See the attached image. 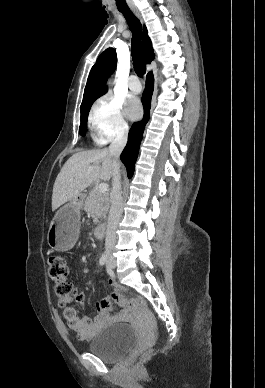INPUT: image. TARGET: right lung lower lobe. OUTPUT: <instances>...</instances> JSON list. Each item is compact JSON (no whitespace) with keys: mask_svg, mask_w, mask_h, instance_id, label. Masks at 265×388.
Segmentation results:
<instances>
[{"mask_svg":"<svg viewBox=\"0 0 265 388\" xmlns=\"http://www.w3.org/2000/svg\"><path fill=\"white\" fill-rule=\"evenodd\" d=\"M153 88V74L148 73L145 90L141 99L144 108V117L141 121L136 122L132 125L128 135V143L120 156L122 162L126 166L128 178H131L133 176L136 159L139 153L140 142L143 138V131L150 117Z\"/></svg>","mask_w":265,"mask_h":388,"instance_id":"right-lung-lower-lobe-1","label":"right lung lower lobe"}]
</instances>
